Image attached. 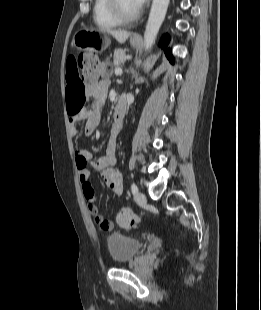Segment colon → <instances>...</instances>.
Here are the masks:
<instances>
[{
  "mask_svg": "<svg viewBox=\"0 0 261 310\" xmlns=\"http://www.w3.org/2000/svg\"><path fill=\"white\" fill-rule=\"evenodd\" d=\"M76 63L82 71V78L80 79L82 83H96L100 77L109 72L108 65L92 54L80 55L76 60ZM117 222L121 227L130 229L135 228L140 224V218L131 210L124 208L118 212ZM107 227V223L102 225V228Z\"/></svg>",
  "mask_w": 261,
  "mask_h": 310,
  "instance_id": "obj_1",
  "label": "colon"
}]
</instances>
